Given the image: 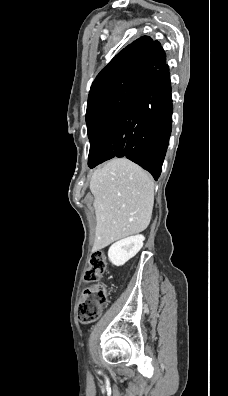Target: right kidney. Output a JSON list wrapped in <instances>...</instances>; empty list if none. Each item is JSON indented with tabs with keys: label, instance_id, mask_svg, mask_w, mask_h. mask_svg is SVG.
Returning a JSON list of instances; mask_svg holds the SVG:
<instances>
[{
	"label": "right kidney",
	"instance_id": "right-kidney-1",
	"mask_svg": "<svg viewBox=\"0 0 228 396\" xmlns=\"http://www.w3.org/2000/svg\"><path fill=\"white\" fill-rule=\"evenodd\" d=\"M144 240L143 235H135L115 242L109 248V260L116 266L124 265L140 251Z\"/></svg>",
	"mask_w": 228,
	"mask_h": 396
}]
</instances>
